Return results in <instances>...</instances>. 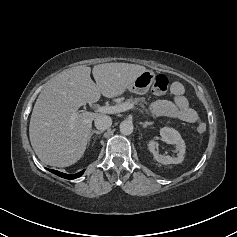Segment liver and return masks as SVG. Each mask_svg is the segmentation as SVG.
I'll return each mask as SVG.
<instances>
[{
	"mask_svg": "<svg viewBox=\"0 0 237 237\" xmlns=\"http://www.w3.org/2000/svg\"><path fill=\"white\" fill-rule=\"evenodd\" d=\"M147 69L129 63H105L91 68L73 67L46 83L39 94L30 119L29 137L32 148L45 164L68 167L83 156L93 112H76L86 103H95L101 94L113 98L123 94L134 79ZM76 117L72 119V115Z\"/></svg>",
	"mask_w": 237,
	"mask_h": 237,
	"instance_id": "6515ba94",
	"label": "liver"
}]
</instances>
